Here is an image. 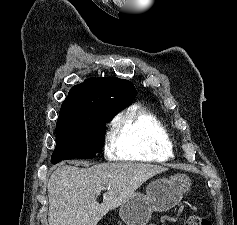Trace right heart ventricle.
<instances>
[{
	"label": "right heart ventricle",
	"mask_w": 237,
	"mask_h": 225,
	"mask_svg": "<svg viewBox=\"0 0 237 225\" xmlns=\"http://www.w3.org/2000/svg\"><path fill=\"white\" fill-rule=\"evenodd\" d=\"M113 158L161 162L173 156V142L165 125L152 113L133 108L114 122Z\"/></svg>",
	"instance_id": "1"
}]
</instances>
